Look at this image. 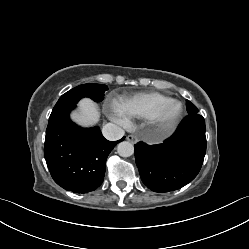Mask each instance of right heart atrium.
Instances as JSON below:
<instances>
[{
  "instance_id": "obj_1",
  "label": "right heart atrium",
  "mask_w": 249,
  "mask_h": 249,
  "mask_svg": "<svg viewBox=\"0 0 249 249\" xmlns=\"http://www.w3.org/2000/svg\"><path fill=\"white\" fill-rule=\"evenodd\" d=\"M112 119L124 126H128L130 123V120L126 114H124L118 106H115L111 109L110 113Z\"/></svg>"
}]
</instances>
